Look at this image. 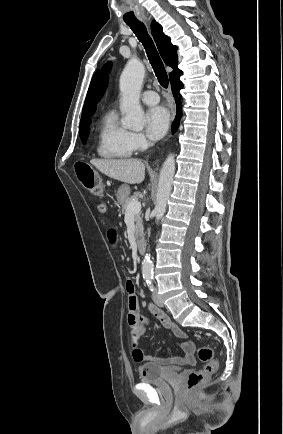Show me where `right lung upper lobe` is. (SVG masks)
<instances>
[{
	"label": "right lung upper lobe",
	"mask_w": 283,
	"mask_h": 434,
	"mask_svg": "<svg viewBox=\"0 0 283 434\" xmlns=\"http://www.w3.org/2000/svg\"><path fill=\"white\" fill-rule=\"evenodd\" d=\"M151 31L161 57L168 66L173 68V71L169 74L171 80L177 74L182 73L177 67V47L171 44L170 38L163 33L161 25L155 20L151 23ZM110 68L111 63L108 62L102 70H99L94 75L84 103L80 124L91 122L90 117L96 109L97 101L101 99L107 87V73H109Z\"/></svg>",
	"instance_id": "right-lung-upper-lobe-1"
}]
</instances>
